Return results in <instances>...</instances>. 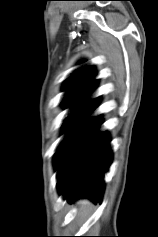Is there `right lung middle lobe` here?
<instances>
[{"mask_svg": "<svg viewBox=\"0 0 158 237\" xmlns=\"http://www.w3.org/2000/svg\"><path fill=\"white\" fill-rule=\"evenodd\" d=\"M65 105L68 107V106H72V105H74V104L65 103ZM77 108H79V107L77 106L76 108H74L73 112H74Z\"/></svg>", "mask_w": 158, "mask_h": 237, "instance_id": "1", "label": "right lung middle lobe"}]
</instances>
